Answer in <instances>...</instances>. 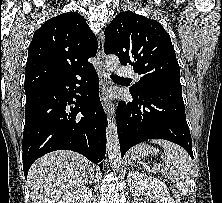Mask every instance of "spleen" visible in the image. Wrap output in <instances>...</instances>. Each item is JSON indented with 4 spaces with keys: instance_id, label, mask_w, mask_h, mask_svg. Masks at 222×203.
<instances>
[{
    "instance_id": "3e777b00",
    "label": "spleen",
    "mask_w": 222,
    "mask_h": 203,
    "mask_svg": "<svg viewBox=\"0 0 222 203\" xmlns=\"http://www.w3.org/2000/svg\"><path fill=\"white\" fill-rule=\"evenodd\" d=\"M151 142L164 148L161 158L166 165L161 169L162 174L170 179L182 194H186L193 175V162L188 153L177 144L167 140H152Z\"/></svg>"
}]
</instances>
